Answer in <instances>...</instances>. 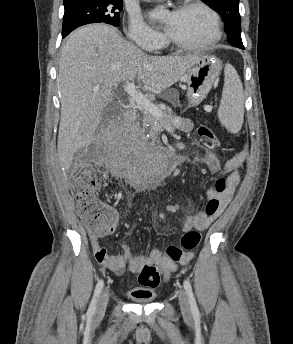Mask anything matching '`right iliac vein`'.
<instances>
[{
	"label": "right iliac vein",
	"instance_id": "obj_1",
	"mask_svg": "<svg viewBox=\"0 0 293 344\" xmlns=\"http://www.w3.org/2000/svg\"><path fill=\"white\" fill-rule=\"evenodd\" d=\"M108 300H109V292L107 289H104L99 296L98 303L96 306V310H95L96 319H100L104 316Z\"/></svg>",
	"mask_w": 293,
	"mask_h": 344
}]
</instances>
